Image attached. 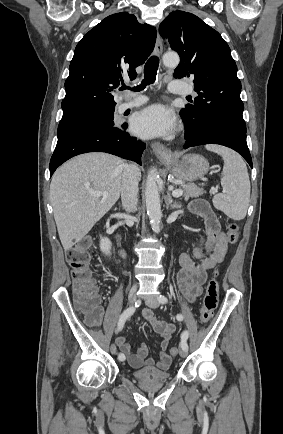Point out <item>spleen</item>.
Wrapping results in <instances>:
<instances>
[{
    "instance_id": "3e777b00",
    "label": "spleen",
    "mask_w": 283,
    "mask_h": 434,
    "mask_svg": "<svg viewBox=\"0 0 283 434\" xmlns=\"http://www.w3.org/2000/svg\"><path fill=\"white\" fill-rule=\"evenodd\" d=\"M206 149L221 155L224 160L223 193L214 196V207L234 220L245 218L250 200V180L245 162L239 154L225 147L207 145Z\"/></svg>"
}]
</instances>
